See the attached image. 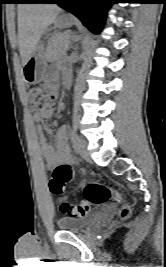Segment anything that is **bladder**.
<instances>
[{"instance_id": "obj_1", "label": "bladder", "mask_w": 166, "mask_h": 267, "mask_svg": "<svg viewBox=\"0 0 166 267\" xmlns=\"http://www.w3.org/2000/svg\"><path fill=\"white\" fill-rule=\"evenodd\" d=\"M96 218V215L62 217L58 219L57 226L63 231H84L96 221Z\"/></svg>"}]
</instances>
